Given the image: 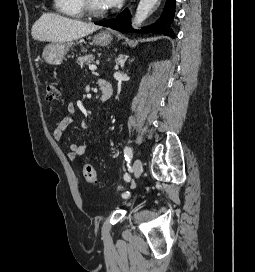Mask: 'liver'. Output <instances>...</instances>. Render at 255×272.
I'll return each instance as SVG.
<instances>
[{
    "label": "liver",
    "instance_id": "6515ba94",
    "mask_svg": "<svg viewBox=\"0 0 255 272\" xmlns=\"http://www.w3.org/2000/svg\"><path fill=\"white\" fill-rule=\"evenodd\" d=\"M99 25L63 17L55 13H44L32 27L34 40L52 43L73 41L100 29Z\"/></svg>",
    "mask_w": 255,
    "mask_h": 272
}]
</instances>
